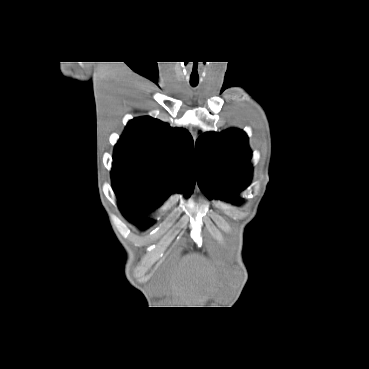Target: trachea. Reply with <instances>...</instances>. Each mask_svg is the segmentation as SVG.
<instances>
[{
  "instance_id": "obj_1",
  "label": "trachea",
  "mask_w": 369,
  "mask_h": 369,
  "mask_svg": "<svg viewBox=\"0 0 369 369\" xmlns=\"http://www.w3.org/2000/svg\"><path fill=\"white\" fill-rule=\"evenodd\" d=\"M191 86L195 87V86H197V84H195V83H191Z\"/></svg>"
}]
</instances>
